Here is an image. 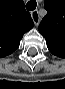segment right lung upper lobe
<instances>
[{
    "mask_svg": "<svg viewBox=\"0 0 65 89\" xmlns=\"http://www.w3.org/2000/svg\"><path fill=\"white\" fill-rule=\"evenodd\" d=\"M33 27L22 0H0V57L13 53L24 33Z\"/></svg>",
    "mask_w": 65,
    "mask_h": 89,
    "instance_id": "obj_1",
    "label": "right lung upper lobe"
}]
</instances>
